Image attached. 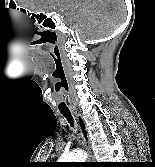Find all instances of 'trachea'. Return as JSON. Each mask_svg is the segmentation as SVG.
<instances>
[{
    "label": "trachea",
    "mask_w": 155,
    "mask_h": 167,
    "mask_svg": "<svg viewBox=\"0 0 155 167\" xmlns=\"http://www.w3.org/2000/svg\"><path fill=\"white\" fill-rule=\"evenodd\" d=\"M61 113L67 118V120L69 121V123L71 125L74 124V120H73L71 113L69 111H61Z\"/></svg>",
    "instance_id": "obj_1"
}]
</instances>
